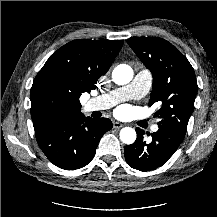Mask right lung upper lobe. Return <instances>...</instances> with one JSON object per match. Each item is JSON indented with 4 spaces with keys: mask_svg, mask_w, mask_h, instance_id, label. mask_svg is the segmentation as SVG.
<instances>
[{
    "mask_svg": "<svg viewBox=\"0 0 217 217\" xmlns=\"http://www.w3.org/2000/svg\"><path fill=\"white\" fill-rule=\"evenodd\" d=\"M123 42L79 39L65 44L51 55L36 75L31 97L43 83L55 81L75 102L68 120L82 115L81 94L97 88V80L108 71ZM33 125L34 129L42 127Z\"/></svg>",
    "mask_w": 217,
    "mask_h": 217,
    "instance_id": "obj_1",
    "label": "right lung upper lobe"
}]
</instances>
